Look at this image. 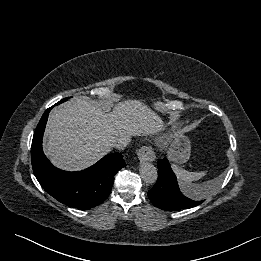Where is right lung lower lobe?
I'll return each instance as SVG.
<instances>
[{
    "label": "right lung lower lobe",
    "mask_w": 261,
    "mask_h": 261,
    "mask_svg": "<svg viewBox=\"0 0 261 261\" xmlns=\"http://www.w3.org/2000/svg\"><path fill=\"white\" fill-rule=\"evenodd\" d=\"M51 109L44 112L34 132L31 146L34 175L42 188L59 202L80 209L95 207L108 197L115 174L126 166L123 156L120 153L108 154L93 166L78 172L54 167L42 149V137Z\"/></svg>",
    "instance_id": "98d812e1"
}]
</instances>
